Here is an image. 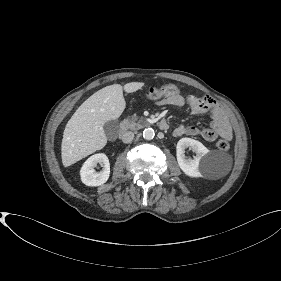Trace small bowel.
Instances as JSON below:
<instances>
[{
	"mask_svg": "<svg viewBox=\"0 0 281 281\" xmlns=\"http://www.w3.org/2000/svg\"><path fill=\"white\" fill-rule=\"evenodd\" d=\"M159 104L175 107L188 106L193 114H209V128L201 129L191 125H179L173 131V135L176 137L188 135L201 137L207 141H214L218 136L228 140L232 138V131L224 112L218 103L209 96L196 97L174 94L164 97Z\"/></svg>",
	"mask_w": 281,
	"mask_h": 281,
	"instance_id": "c3829d8e",
	"label": "small bowel"
}]
</instances>
